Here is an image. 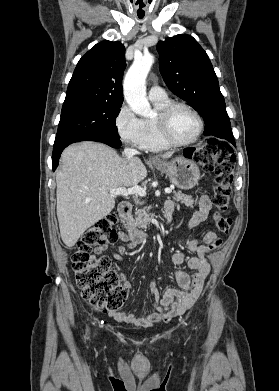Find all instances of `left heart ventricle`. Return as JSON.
Returning <instances> with one entry per match:
<instances>
[{"mask_svg":"<svg viewBox=\"0 0 279 391\" xmlns=\"http://www.w3.org/2000/svg\"><path fill=\"white\" fill-rule=\"evenodd\" d=\"M171 134L177 141H187L193 138L198 130L196 117L185 108H177L170 121Z\"/></svg>","mask_w":279,"mask_h":391,"instance_id":"1","label":"left heart ventricle"}]
</instances>
